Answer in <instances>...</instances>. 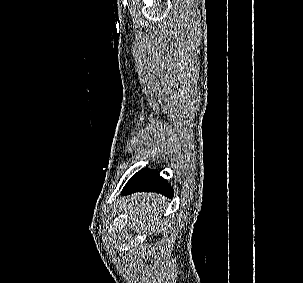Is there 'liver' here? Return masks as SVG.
<instances>
[{
  "label": "liver",
  "mask_w": 303,
  "mask_h": 283,
  "mask_svg": "<svg viewBox=\"0 0 303 283\" xmlns=\"http://www.w3.org/2000/svg\"><path fill=\"white\" fill-rule=\"evenodd\" d=\"M164 209L165 199L155 193L132 194L123 207L126 221L134 231L157 229Z\"/></svg>",
  "instance_id": "1"
}]
</instances>
